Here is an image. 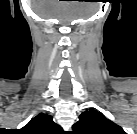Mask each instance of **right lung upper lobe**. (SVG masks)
<instances>
[{
    "label": "right lung upper lobe",
    "mask_w": 137,
    "mask_h": 134,
    "mask_svg": "<svg viewBox=\"0 0 137 134\" xmlns=\"http://www.w3.org/2000/svg\"><path fill=\"white\" fill-rule=\"evenodd\" d=\"M61 131L62 128L47 113L38 114L20 130L22 134H59Z\"/></svg>",
    "instance_id": "right-lung-upper-lobe-1"
}]
</instances>
